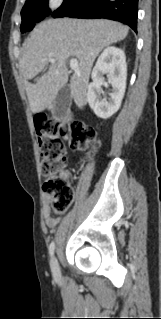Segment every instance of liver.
Wrapping results in <instances>:
<instances>
[{
	"label": "liver",
	"instance_id": "1",
	"mask_svg": "<svg viewBox=\"0 0 161 319\" xmlns=\"http://www.w3.org/2000/svg\"><path fill=\"white\" fill-rule=\"evenodd\" d=\"M128 31L127 26L110 20L49 19L37 25L24 43L20 60L31 111L46 109L67 84L69 57L78 60L69 87L74 102L83 108L96 57L105 47L125 39ZM49 57L55 62L35 83H30L46 67Z\"/></svg>",
	"mask_w": 161,
	"mask_h": 319
}]
</instances>
